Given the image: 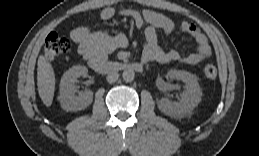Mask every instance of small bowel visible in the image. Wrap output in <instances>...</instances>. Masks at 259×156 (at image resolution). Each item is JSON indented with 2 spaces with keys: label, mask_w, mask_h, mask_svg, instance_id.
Segmentation results:
<instances>
[{
  "label": "small bowel",
  "mask_w": 259,
  "mask_h": 156,
  "mask_svg": "<svg viewBox=\"0 0 259 156\" xmlns=\"http://www.w3.org/2000/svg\"><path fill=\"white\" fill-rule=\"evenodd\" d=\"M120 15L131 18L137 28L143 31L145 45L142 62L144 63L177 62L195 65L211 56L212 51L206 36L193 23L183 21L180 24L181 32L194 38L197 44L193 53L183 56L176 50H164L158 45V31L169 36L175 29L174 23L167 16L152 10L139 12L131 9L122 10ZM115 16L116 10L113 7H105L100 13L102 20H110ZM70 36L77 44L79 53L88 62L104 61L110 52L128 45L127 37L123 33H93L88 27H77L71 31Z\"/></svg>",
  "instance_id": "c3829d8e"
}]
</instances>
